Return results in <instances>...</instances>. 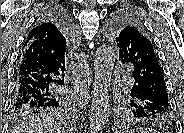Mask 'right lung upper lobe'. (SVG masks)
I'll return each instance as SVG.
<instances>
[{"label":"right lung upper lobe","mask_w":184,"mask_h":133,"mask_svg":"<svg viewBox=\"0 0 184 133\" xmlns=\"http://www.w3.org/2000/svg\"><path fill=\"white\" fill-rule=\"evenodd\" d=\"M69 39V35L56 22L55 17L44 16L37 20L29 32L22 51L30 46L48 56H63Z\"/></svg>","instance_id":"cb5924a9"}]
</instances>
